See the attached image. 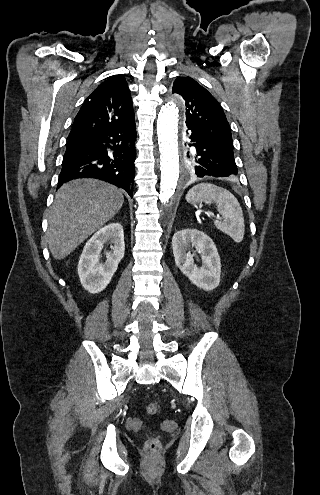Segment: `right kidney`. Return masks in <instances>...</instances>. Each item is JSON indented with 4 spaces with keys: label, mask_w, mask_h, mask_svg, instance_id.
<instances>
[{
    "label": "right kidney",
    "mask_w": 320,
    "mask_h": 495,
    "mask_svg": "<svg viewBox=\"0 0 320 495\" xmlns=\"http://www.w3.org/2000/svg\"><path fill=\"white\" fill-rule=\"evenodd\" d=\"M113 247L106 252L105 263L100 262V253L105 243ZM125 251L124 231L119 223H111L97 231L86 243L78 263V275L85 290L95 294L110 283Z\"/></svg>",
    "instance_id": "obj_1"
}]
</instances>
